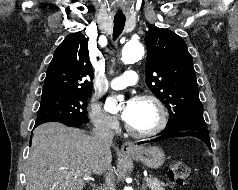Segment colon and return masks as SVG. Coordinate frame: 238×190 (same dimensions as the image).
<instances>
[{
    "mask_svg": "<svg viewBox=\"0 0 238 190\" xmlns=\"http://www.w3.org/2000/svg\"><path fill=\"white\" fill-rule=\"evenodd\" d=\"M168 173L174 183L182 185L189 179L191 169L186 164L176 161L170 164Z\"/></svg>",
    "mask_w": 238,
    "mask_h": 190,
    "instance_id": "colon-1",
    "label": "colon"
}]
</instances>
